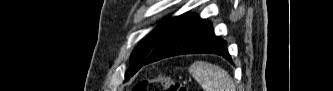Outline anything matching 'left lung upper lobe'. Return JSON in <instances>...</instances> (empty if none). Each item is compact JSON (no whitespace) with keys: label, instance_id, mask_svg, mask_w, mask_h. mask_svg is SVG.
<instances>
[{"label":"left lung upper lobe","instance_id":"obj_1","mask_svg":"<svg viewBox=\"0 0 333 91\" xmlns=\"http://www.w3.org/2000/svg\"><path fill=\"white\" fill-rule=\"evenodd\" d=\"M181 16L164 20L145 41L133 50L131 54L132 64L125 74V80H128L140 69L141 65L157 43Z\"/></svg>","mask_w":333,"mask_h":91}]
</instances>
